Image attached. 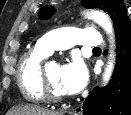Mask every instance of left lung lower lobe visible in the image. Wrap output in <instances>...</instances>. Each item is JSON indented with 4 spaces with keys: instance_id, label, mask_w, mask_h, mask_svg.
<instances>
[{
    "instance_id": "left-lung-lower-lobe-1",
    "label": "left lung lower lobe",
    "mask_w": 131,
    "mask_h": 115,
    "mask_svg": "<svg viewBox=\"0 0 131 115\" xmlns=\"http://www.w3.org/2000/svg\"><path fill=\"white\" fill-rule=\"evenodd\" d=\"M116 67L109 86L92 90L83 103L84 115H131V22L123 19L115 29ZM79 111V110H78Z\"/></svg>"
}]
</instances>
